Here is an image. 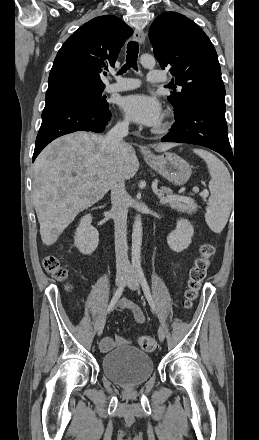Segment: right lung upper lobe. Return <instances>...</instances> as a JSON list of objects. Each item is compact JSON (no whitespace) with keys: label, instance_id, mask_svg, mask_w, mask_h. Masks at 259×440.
Listing matches in <instances>:
<instances>
[{"label":"right lung upper lobe","instance_id":"right-lung-upper-lobe-1","mask_svg":"<svg viewBox=\"0 0 259 440\" xmlns=\"http://www.w3.org/2000/svg\"><path fill=\"white\" fill-rule=\"evenodd\" d=\"M132 29L113 15L96 17L62 45L49 74L46 94L75 88H104L100 73L114 66Z\"/></svg>","mask_w":259,"mask_h":440}]
</instances>
